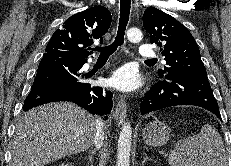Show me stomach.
<instances>
[{"mask_svg": "<svg viewBox=\"0 0 231 166\" xmlns=\"http://www.w3.org/2000/svg\"><path fill=\"white\" fill-rule=\"evenodd\" d=\"M170 136V128L158 119L148 123L142 131L145 144L158 147L165 144Z\"/></svg>", "mask_w": 231, "mask_h": 166, "instance_id": "1", "label": "stomach"}]
</instances>
